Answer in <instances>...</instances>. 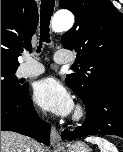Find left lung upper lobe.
I'll return each instance as SVG.
<instances>
[{
    "label": "left lung upper lobe",
    "mask_w": 123,
    "mask_h": 152,
    "mask_svg": "<svg viewBox=\"0 0 123 152\" xmlns=\"http://www.w3.org/2000/svg\"><path fill=\"white\" fill-rule=\"evenodd\" d=\"M60 7L75 15L62 37L64 48L77 52L76 73L66 84L83 101L103 88L123 87V14L109 0H60Z\"/></svg>",
    "instance_id": "left-lung-upper-lobe-1"
}]
</instances>
